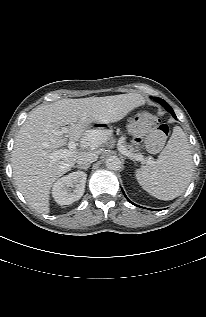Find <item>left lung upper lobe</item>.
Here are the masks:
<instances>
[{"instance_id": "5c2ea615", "label": "left lung upper lobe", "mask_w": 206, "mask_h": 317, "mask_svg": "<svg viewBox=\"0 0 206 317\" xmlns=\"http://www.w3.org/2000/svg\"><path fill=\"white\" fill-rule=\"evenodd\" d=\"M153 98H154V100H156L157 102L162 104L171 114L173 113L172 108L163 99L158 98V97H153Z\"/></svg>"}]
</instances>
